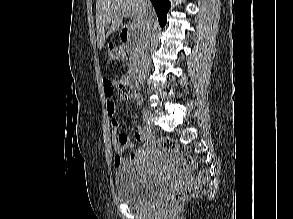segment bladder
<instances>
[{"label": "bladder", "mask_w": 293, "mask_h": 219, "mask_svg": "<svg viewBox=\"0 0 293 219\" xmlns=\"http://www.w3.org/2000/svg\"><path fill=\"white\" fill-rule=\"evenodd\" d=\"M166 185V179H150L133 165L120 166L114 174L116 195L129 206L142 207L146 205L159 195Z\"/></svg>", "instance_id": "bladder-1"}]
</instances>
